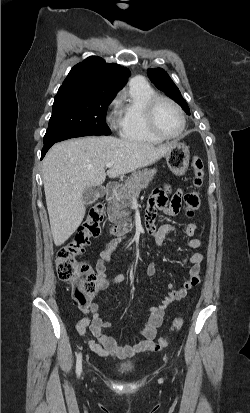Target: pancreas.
Wrapping results in <instances>:
<instances>
[{
    "label": "pancreas",
    "instance_id": "pancreas-1",
    "mask_svg": "<svg viewBox=\"0 0 250 413\" xmlns=\"http://www.w3.org/2000/svg\"><path fill=\"white\" fill-rule=\"evenodd\" d=\"M156 169H143L133 172L127 180L117 187V191L109 201L108 217L115 224H126L130 214L125 209L132 204L134 197L140 194V191L147 188L153 180Z\"/></svg>",
    "mask_w": 250,
    "mask_h": 413
}]
</instances>
